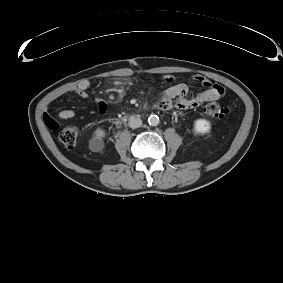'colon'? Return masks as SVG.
<instances>
[{
  "label": "colon",
  "instance_id": "colon-1",
  "mask_svg": "<svg viewBox=\"0 0 283 283\" xmlns=\"http://www.w3.org/2000/svg\"><path fill=\"white\" fill-rule=\"evenodd\" d=\"M204 114L212 119H224L228 109L218 103H210L205 106ZM78 131L74 127H65L59 133L60 142L66 147H74L77 143Z\"/></svg>",
  "mask_w": 283,
  "mask_h": 283
}]
</instances>
